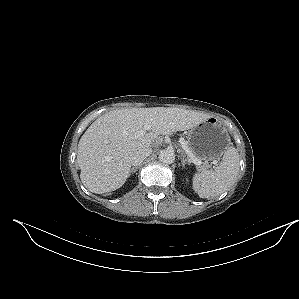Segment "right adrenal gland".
<instances>
[{"instance_id": "obj_1", "label": "right adrenal gland", "mask_w": 299, "mask_h": 299, "mask_svg": "<svg viewBox=\"0 0 299 299\" xmlns=\"http://www.w3.org/2000/svg\"><path fill=\"white\" fill-rule=\"evenodd\" d=\"M139 169V167H133L131 170H130V175L137 172Z\"/></svg>"}]
</instances>
